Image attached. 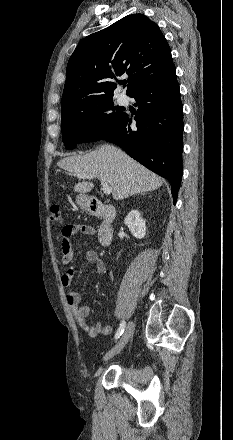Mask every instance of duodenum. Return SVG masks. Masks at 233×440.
Listing matches in <instances>:
<instances>
[{
    "mask_svg": "<svg viewBox=\"0 0 233 440\" xmlns=\"http://www.w3.org/2000/svg\"><path fill=\"white\" fill-rule=\"evenodd\" d=\"M89 212L92 216L103 219V222L99 226L98 240L102 246H109L114 237L111 227V223L116 215L114 207L108 206L98 200H93L90 204Z\"/></svg>",
    "mask_w": 233,
    "mask_h": 440,
    "instance_id": "duodenum-1",
    "label": "duodenum"
}]
</instances>
